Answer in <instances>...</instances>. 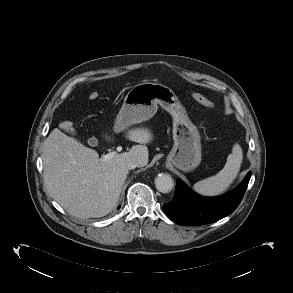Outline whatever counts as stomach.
I'll return each instance as SVG.
<instances>
[{
    "instance_id": "0dacf381",
    "label": "stomach",
    "mask_w": 293,
    "mask_h": 293,
    "mask_svg": "<svg viewBox=\"0 0 293 293\" xmlns=\"http://www.w3.org/2000/svg\"><path fill=\"white\" fill-rule=\"evenodd\" d=\"M158 105L173 119L174 146L167 161L182 171H192L201 162V142L197 127L185 107L169 87L159 83H141L132 87L124 98L114 130L123 131L152 118Z\"/></svg>"
}]
</instances>
